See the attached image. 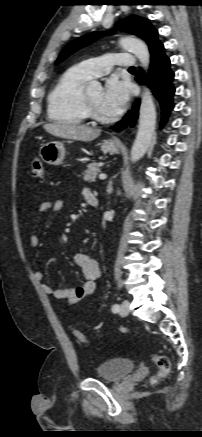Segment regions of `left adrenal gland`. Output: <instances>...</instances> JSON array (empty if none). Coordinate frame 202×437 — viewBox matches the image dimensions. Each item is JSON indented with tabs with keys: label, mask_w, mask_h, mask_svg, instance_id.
<instances>
[{
	"label": "left adrenal gland",
	"mask_w": 202,
	"mask_h": 437,
	"mask_svg": "<svg viewBox=\"0 0 202 437\" xmlns=\"http://www.w3.org/2000/svg\"><path fill=\"white\" fill-rule=\"evenodd\" d=\"M112 191H113L112 181H109L108 186H107V192H108V194H111Z\"/></svg>",
	"instance_id": "a2214340"
}]
</instances>
